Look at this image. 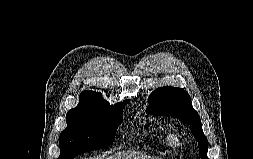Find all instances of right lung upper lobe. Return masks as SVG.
<instances>
[{"label": "right lung upper lobe", "mask_w": 253, "mask_h": 159, "mask_svg": "<svg viewBox=\"0 0 253 159\" xmlns=\"http://www.w3.org/2000/svg\"><path fill=\"white\" fill-rule=\"evenodd\" d=\"M79 104H86V103H97V104H107L102 100V96L100 93H96L94 91H83L79 96Z\"/></svg>", "instance_id": "obj_1"}]
</instances>
